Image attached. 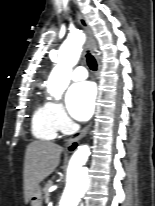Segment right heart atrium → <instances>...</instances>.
<instances>
[{"instance_id":"1","label":"right heart atrium","mask_w":155,"mask_h":206,"mask_svg":"<svg viewBox=\"0 0 155 206\" xmlns=\"http://www.w3.org/2000/svg\"><path fill=\"white\" fill-rule=\"evenodd\" d=\"M47 110L58 131L65 132L69 130L70 120L60 103L54 101L47 102Z\"/></svg>"}]
</instances>
